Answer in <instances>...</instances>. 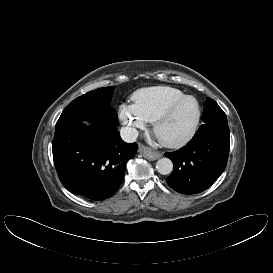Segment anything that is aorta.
<instances>
[{
    "mask_svg": "<svg viewBox=\"0 0 273 273\" xmlns=\"http://www.w3.org/2000/svg\"><path fill=\"white\" fill-rule=\"evenodd\" d=\"M157 171L162 175H168L173 170V163L169 158H161L156 163Z\"/></svg>",
    "mask_w": 273,
    "mask_h": 273,
    "instance_id": "1",
    "label": "aorta"
}]
</instances>
